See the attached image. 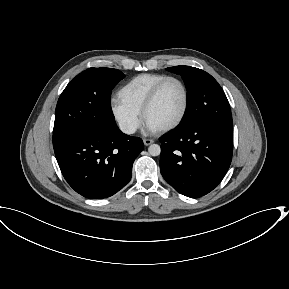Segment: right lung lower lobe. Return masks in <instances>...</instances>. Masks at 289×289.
I'll return each instance as SVG.
<instances>
[{
  "label": "right lung lower lobe",
  "instance_id": "98d812e1",
  "mask_svg": "<svg viewBox=\"0 0 289 289\" xmlns=\"http://www.w3.org/2000/svg\"><path fill=\"white\" fill-rule=\"evenodd\" d=\"M143 141L119 128H88L54 146L68 184L86 198L112 196L131 179L132 166L143 150Z\"/></svg>",
  "mask_w": 289,
  "mask_h": 289
}]
</instances>
